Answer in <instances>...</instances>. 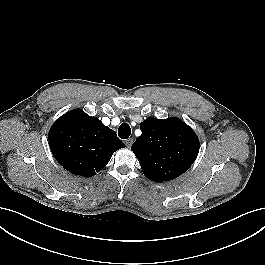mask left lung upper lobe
<instances>
[{"label":"left lung upper lobe","mask_w":265,"mask_h":265,"mask_svg":"<svg viewBox=\"0 0 265 265\" xmlns=\"http://www.w3.org/2000/svg\"><path fill=\"white\" fill-rule=\"evenodd\" d=\"M142 131L131 147L144 175L163 182L177 178L195 161L199 139L194 131L178 118L149 117L140 124Z\"/></svg>","instance_id":"1"}]
</instances>
